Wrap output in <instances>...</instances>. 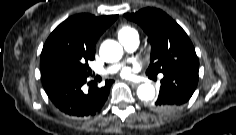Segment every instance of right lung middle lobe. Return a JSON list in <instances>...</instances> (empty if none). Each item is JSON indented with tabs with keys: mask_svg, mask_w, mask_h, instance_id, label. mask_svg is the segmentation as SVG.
I'll return each instance as SVG.
<instances>
[{
	"mask_svg": "<svg viewBox=\"0 0 236 135\" xmlns=\"http://www.w3.org/2000/svg\"><path fill=\"white\" fill-rule=\"evenodd\" d=\"M95 48L81 42L56 37L47 40L41 53V72H75L90 74L88 62L94 60Z\"/></svg>",
	"mask_w": 236,
	"mask_h": 135,
	"instance_id": "1",
	"label": "right lung middle lobe"
}]
</instances>
